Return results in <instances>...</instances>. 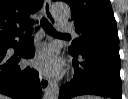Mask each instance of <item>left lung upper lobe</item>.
I'll list each match as a JSON object with an SVG mask.
<instances>
[{"mask_svg":"<svg viewBox=\"0 0 128 99\" xmlns=\"http://www.w3.org/2000/svg\"><path fill=\"white\" fill-rule=\"evenodd\" d=\"M71 7L72 19L79 38L69 48L79 52L84 45L95 40L119 44L116 21L109 0H65Z\"/></svg>","mask_w":128,"mask_h":99,"instance_id":"1","label":"left lung upper lobe"}]
</instances>
